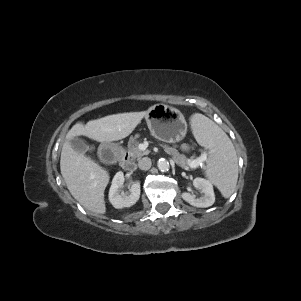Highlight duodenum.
Returning a JSON list of instances; mask_svg holds the SVG:
<instances>
[{"mask_svg": "<svg viewBox=\"0 0 301 301\" xmlns=\"http://www.w3.org/2000/svg\"><path fill=\"white\" fill-rule=\"evenodd\" d=\"M98 157L107 164L120 163L126 172H133L136 168L135 162L123 151L120 146L106 142L98 148Z\"/></svg>", "mask_w": 301, "mask_h": 301, "instance_id": "410a0bca", "label": "duodenum"}]
</instances>
